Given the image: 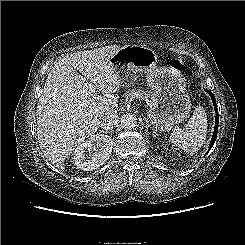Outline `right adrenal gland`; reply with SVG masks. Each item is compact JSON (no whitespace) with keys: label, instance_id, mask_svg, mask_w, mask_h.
I'll return each instance as SVG.
<instances>
[{"label":"right adrenal gland","instance_id":"right-adrenal-gland-1","mask_svg":"<svg viewBox=\"0 0 245 245\" xmlns=\"http://www.w3.org/2000/svg\"><path fill=\"white\" fill-rule=\"evenodd\" d=\"M102 132L105 134H112V131L102 130Z\"/></svg>","mask_w":245,"mask_h":245}]
</instances>
